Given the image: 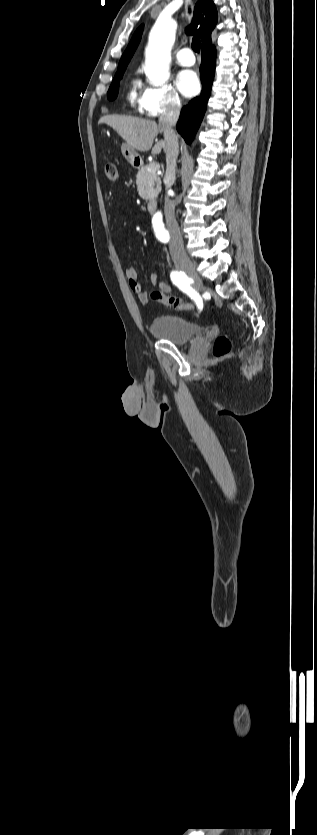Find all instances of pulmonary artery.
<instances>
[{
	"label": "pulmonary artery",
	"mask_w": 317,
	"mask_h": 835,
	"mask_svg": "<svg viewBox=\"0 0 317 835\" xmlns=\"http://www.w3.org/2000/svg\"><path fill=\"white\" fill-rule=\"evenodd\" d=\"M177 61L182 66H192L195 63V57L190 48L185 47L176 53Z\"/></svg>",
	"instance_id": "e3ab8cb5"
}]
</instances>
